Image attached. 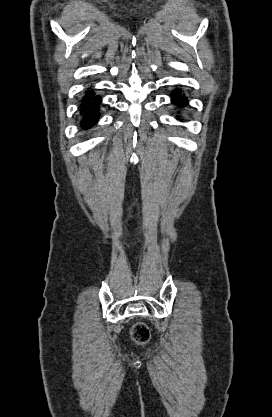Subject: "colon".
Here are the masks:
<instances>
[{"label":"colon","instance_id":"obj_1","mask_svg":"<svg viewBox=\"0 0 272 417\" xmlns=\"http://www.w3.org/2000/svg\"><path fill=\"white\" fill-rule=\"evenodd\" d=\"M132 337L136 342L144 344L149 341L150 331L144 323L138 322L132 328Z\"/></svg>","mask_w":272,"mask_h":417}]
</instances>
